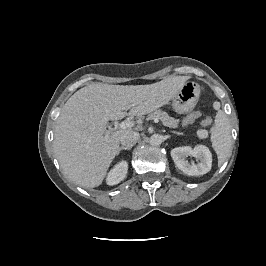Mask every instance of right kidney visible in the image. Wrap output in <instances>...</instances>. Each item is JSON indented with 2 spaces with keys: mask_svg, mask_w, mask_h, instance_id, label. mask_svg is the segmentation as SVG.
Segmentation results:
<instances>
[{
  "mask_svg": "<svg viewBox=\"0 0 266 266\" xmlns=\"http://www.w3.org/2000/svg\"><path fill=\"white\" fill-rule=\"evenodd\" d=\"M128 164L126 161H121L114 166L108 173L106 182L108 185H116L121 182L127 175Z\"/></svg>",
  "mask_w": 266,
  "mask_h": 266,
  "instance_id": "obj_1",
  "label": "right kidney"
}]
</instances>
